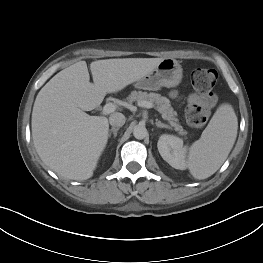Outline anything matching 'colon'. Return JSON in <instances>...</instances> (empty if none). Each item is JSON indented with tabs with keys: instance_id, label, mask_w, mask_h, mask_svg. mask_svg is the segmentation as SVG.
Wrapping results in <instances>:
<instances>
[{
	"instance_id": "1",
	"label": "colon",
	"mask_w": 263,
	"mask_h": 263,
	"mask_svg": "<svg viewBox=\"0 0 263 263\" xmlns=\"http://www.w3.org/2000/svg\"><path fill=\"white\" fill-rule=\"evenodd\" d=\"M217 72L209 68H197L191 73V83L200 100L190 104L186 111L188 124L194 128L203 127L214 103L213 88L217 82Z\"/></svg>"
}]
</instances>
